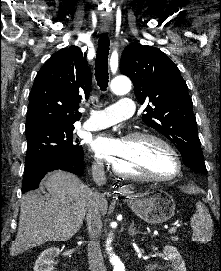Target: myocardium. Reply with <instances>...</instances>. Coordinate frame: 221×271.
<instances>
[{"mask_svg": "<svg viewBox=\"0 0 221 271\" xmlns=\"http://www.w3.org/2000/svg\"><path fill=\"white\" fill-rule=\"evenodd\" d=\"M165 140L170 139L151 130L143 133H129L128 137L125 138L126 142H133L132 145H136L137 142H153L154 150H166L164 152L167 157L165 162L173 170L168 174L146 175V173H127L125 170H121V166L118 165L115 158H108L107 168H110V171H113L114 175L123 176V179L149 178V183H166V178H176L183 170H180L181 166L176 161L177 150H171L170 142H165Z\"/></svg>", "mask_w": 221, "mask_h": 271, "instance_id": "obj_1", "label": "myocardium"}]
</instances>
